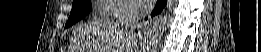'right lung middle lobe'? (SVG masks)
Listing matches in <instances>:
<instances>
[{"mask_svg": "<svg viewBox=\"0 0 261 52\" xmlns=\"http://www.w3.org/2000/svg\"><path fill=\"white\" fill-rule=\"evenodd\" d=\"M92 9L91 0H74L70 17L65 25V28L72 26L77 21L81 20Z\"/></svg>", "mask_w": 261, "mask_h": 52, "instance_id": "right-lung-middle-lobe-1", "label": "right lung middle lobe"}]
</instances>
